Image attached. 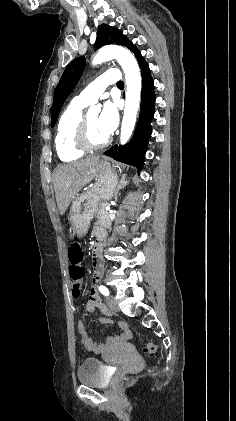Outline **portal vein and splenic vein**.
I'll use <instances>...</instances> for the list:
<instances>
[{
	"label": "portal vein and splenic vein",
	"instance_id": "18ae733b",
	"mask_svg": "<svg viewBox=\"0 0 236 421\" xmlns=\"http://www.w3.org/2000/svg\"><path fill=\"white\" fill-rule=\"evenodd\" d=\"M105 208H106V210H107V211H110V210H111V207H110V205H109V204H106V205H105Z\"/></svg>",
	"mask_w": 236,
	"mask_h": 421
}]
</instances>
